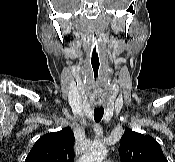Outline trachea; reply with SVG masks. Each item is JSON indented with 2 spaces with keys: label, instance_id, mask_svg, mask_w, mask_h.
Returning <instances> with one entry per match:
<instances>
[{
  "label": "trachea",
  "instance_id": "3493384b",
  "mask_svg": "<svg viewBox=\"0 0 175 162\" xmlns=\"http://www.w3.org/2000/svg\"><path fill=\"white\" fill-rule=\"evenodd\" d=\"M104 115V108H95L94 110V120L95 122H100Z\"/></svg>",
  "mask_w": 175,
  "mask_h": 162
}]
</instances>
